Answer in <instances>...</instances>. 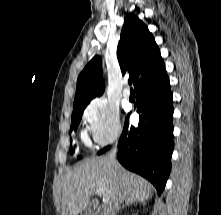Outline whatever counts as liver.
I'll return each instance as SVG.
<instances>
[{"label":"liver","mask_w":221,"mask_h":215,"mask_svg":"<svg viewBox=\"0 0 221 215\" xmlns=\"http://www.w3.org/2000/svg\"><path fill=\"white\" fill-rule=\"evenodd\" d=\"M62 187V215L82 213L94 193L103 197L107 209L116 199L135 203L153 196V187L147 180L117 162L113 164L108 156L86 159L65 175Z\"/></svg>","instance_id":"1"}]
</instances>
